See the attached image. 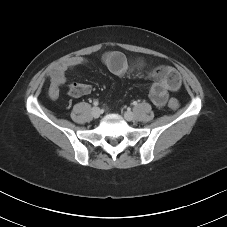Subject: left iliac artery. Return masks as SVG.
Instances as JSON below:
<instances>
[{
	"instance_id": "1",
	"label": "left iliac artery",
	"mask_w": 227,
	"mask_h": 227,
	"mask_svg": "<svg viewBox=\"0 0 227 227\" xmlns=\"http://www.w3.org/2000/svg\"><path fill=\"white\" fill-rule=\"evenodd\" d=\"M132 104H133V105H137V102H136V101H134Z\"/></svg>"
}]
</instances>
